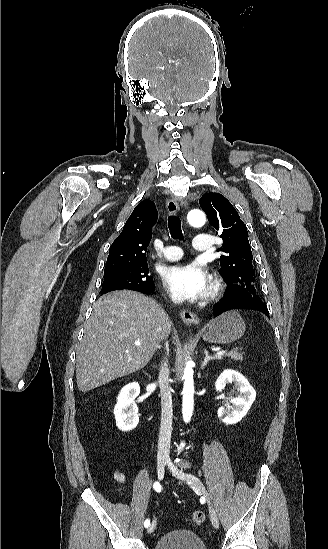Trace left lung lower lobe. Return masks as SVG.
I'll return each instance as SVG.
<instances>
[{
	"instance_id": "1",
	"label": "left lung lower lobe",
	"mask_w": 328,
	"mask_h": 549,
	"mask_svg": "<svg viewBox=\"0 0 328 549\" xmlns=\"http://www.w3.org/2000/svg\"><path fill=\"white\" fill-rule=\"evenodd\" d=\"M232 309H251L269 316L267 306L262 300L225 296L222 301L214 306V317Z\"/></svg>"
}]
</instances>
